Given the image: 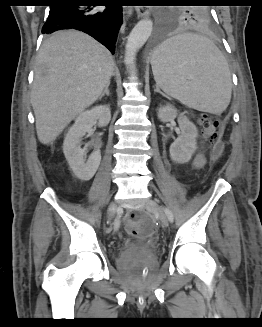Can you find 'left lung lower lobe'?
Returning a JSON list of instances; mask_svg holds the SVG:
<instances>
[{"label":"left lung lower lobe","mask_w":262,"mask_h":327,"mask_svg":"<svg viewBox=\"0 0 262 327\" xmlns=\"http://www.w3.org/2000/svg\"><path fill=\"white\" fill-rule=\"evenodd\" d=\"M162 41H163L162 33L158 32L151 41L152 48H158L161 45Z\"/></svg>","instance_id":"1"}]
</instances>
